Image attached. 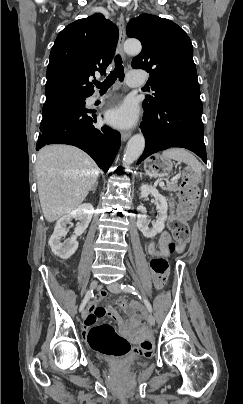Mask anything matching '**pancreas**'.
Returning <instances> with one entry per match:
<instances>
[{
  "instance_id": "obj_1",
  "label": "pancreas",
  "mask_w": 243,
  "mask_h": 404,
  "mask_svg": "<svg viewBox=\"0 0 243 404\" xmlns=\"http://www.w3.org/2000/svg\"><path fill=\"white\" fill-rule=\"evenodd\" d=\"M162 190H168V192H177V182H170V184H167V186H165V188H162Z\"/></svg>"
}]
</instances>
